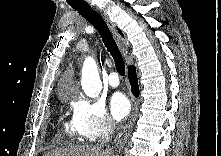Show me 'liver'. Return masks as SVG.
<instances>
[{
  "instance_id": "1",
  "label": "liver",
  "mask_w": 221,
  "mask_h": 156,
  "mask_svg": "<svg viewBox=\"0 0 221 156\" xmlns=\"http://www.w3.org/2000/svg\"><path fill=\"white\" fill-rule=\"evenodd\" d=\"M113 152L99 146L78 145L52 150L46 156H112Z\"/></svg>"
}]
</instances>
